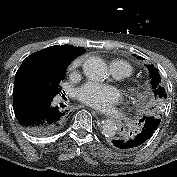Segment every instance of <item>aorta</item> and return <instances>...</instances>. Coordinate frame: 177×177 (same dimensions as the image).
Returning a JSON list of instances; mask_svg holds the SVG:
<instances>
[{
	"label": "aorta",
	"mask_w": 177,
	"mask_h": 177,
	"mask_svg": "<svg viewBox=\"0 0 177 177\" xmlns=\"http://www.w3.org/2000/svg\"><path fill=\"white\" fill-rule=\"evenodd\" d=\"M85 76L94 81H100L107 76V66L104 60L98 56H91L83 64ZM102 134L108 137L114 136L117 126L111 120H106L101 126Z\"/></svg>",
	"instance_id": "1"
}]
</instances>
